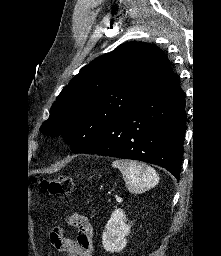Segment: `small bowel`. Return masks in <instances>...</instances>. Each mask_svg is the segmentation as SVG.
I'll list each match as a JSON object with an SVG mask.
<instances>
[{
  "mask_svg": "<svg viewBox=\"0 0 221 256\" xmlns=\"http://www.w3.org/2000/svg\"><path fill=\"white\" fill-rule=\"evenodd\" d=\"M69 223L78 230L75 240L63 238L59 229L51 233L52 244L66 256H92L93 230L86 217L73 214L68 218Z\"/></svg>",
  "mask_w": 221,
  "mask_h": 256,
  "instance_id": "1",
  "label": "small bowel"
}]
</instances>
